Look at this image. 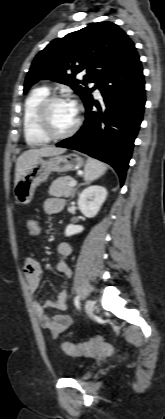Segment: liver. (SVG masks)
Listing matches in <instances>:
<instances>
[{
    "label": "liver",
    "instance_id": "6515ba94",
    "mask_svg": "<svg viewBox=\"0 0 165 419\" xmlns=\"http://www.w3.org/2000/svg\"><path fill=\"white\" fill-rule=\"evenodd\" d=\"M65 151V148L46 145L42 146L41 148H31L23 152L17 159L16 163L15 185L38 159L59 155Z\"/></svg>",
    "mask_w": 165,
    "mask_h": 419
}]
</instances>
